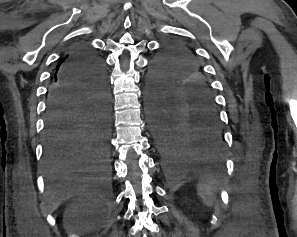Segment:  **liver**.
Masks as SVG:
<instances>
[{
    "instance_id": "liver-1",
    "label": "liver",
    "mask_w": 297,
    "mask_h": 237,
    "mask_svg": "<svg viewBox=\"0 0 297 237\" xmlns=\"http://www.w3.org/2000/svg\"><path fill=\"white\" fill-rule=\"evenodd\" d=\"M80 181H83V180H80ZM76 190H77V186L76 185H73L72 186V185L69 184V185L66 186V191L68 193L69 192H72V191H76ZM62 198H64V196H61L59 199H62ZM58 205H59V202L54 203L53 206H52V210H55L58 207Z\"/></svg>"
}]
</instances>
